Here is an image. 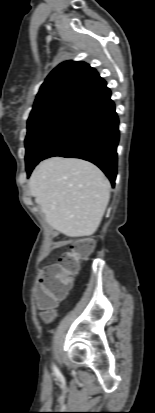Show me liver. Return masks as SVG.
Returning a JSON list of instances; mask_svg holds the SVG:
<instances>
[{
  "mask_svg": "<svg viewBox=\"0 0 155 413\" xmlns=\"http://www.w3.org/2000/svg\"><path fill=\"white\" fill-rule=\"evenodd\" d=\"M29 188L46 222L68 237L95 233L110 199V182L94 164L53 157L33 170Z\"/></svg>",
  "mask_w": 155,
  "mask_h": 413,
  "instance_id": "obj_1",
  "label": "liver"
}]
</instances>
